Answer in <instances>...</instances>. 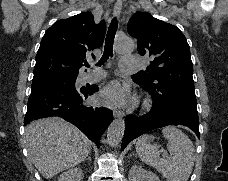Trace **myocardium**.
I'll return each instance as SVG.
<instances>
[{
	"label": "myocardium",
	"instance_id": "obj_1",
	"mask_svg": "<svg viewBox=\"0 0 228 181\" xmlns=\"http://www.w3.org/2000/svg\"><path fill=\"white\" fill-rule=\"evenodd\" d=\"M144 105H145L146 107H148V106H149V102H148V101H145V102H144Z\"/></svg>",
	"mask_w": 228,
	"mask_h": 181
}]
</instances>
